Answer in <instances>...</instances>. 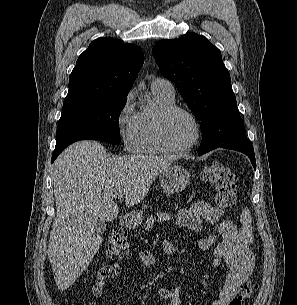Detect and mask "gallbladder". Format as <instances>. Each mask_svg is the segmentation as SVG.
I'll list each match as a JSON object with an SVG mask.
<instances>
[{"label":"gallbladder","instance_id":"1","mask_svg":"<svg viewBox=\"0 0 297 305\" xmlns=\"http://www.w3.org/2000/svg\"><path fill=\"white\" fill-rule=\"evenodd\" d=\"M106 230V224L104 221H98L95 225L94 232L97 235H102Z\"/></svg>","mask_w":297,"mask_h":305}]
</instances>
